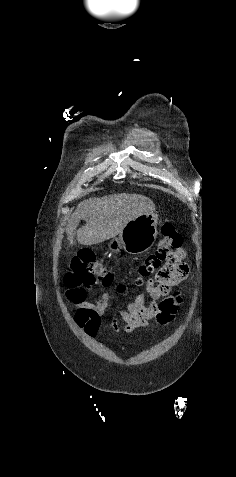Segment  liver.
<instances>
[{"label":"liver","instance_id":"obj_1","mask_svg":"<svg viewBox=\"0 0 236 477\" xmlns=\"http://www.w3.org/2000/svg\"><path fill=\"white\" fill-rule=\"evenodd\" d=\"M153 201L138 194H114L82 201L73 212L66 226L67 239L74 244V237L82 245L101 243L119 235L126 224L143 214L153 213ZM80 220L86 225L76 230Z\"/></svg>","mask_w":236,"mask_h":477}]
</instances>
